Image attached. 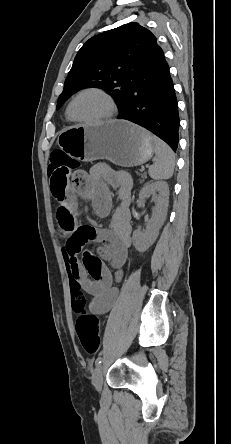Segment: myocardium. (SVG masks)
<instances>
[{
	"mask_svg": "<svg viewBox=\"0 0 231 444\" xmlns=\"http://www.w3.org/2000/svg\"><path fill=\"white\" fill-rule=\"evenodd\" d=\"M87 92H96L104 97V99L106 100V102L108 104V112L105 115H103L97 119H94V120H85V119L78 118L74 114L73 105H74L75 101L77 100V98L79 96H81L82 94L87 93ZM116 112H117V106H116V103H115L113 97L103 88L95 87V86L87 87V88L80 90L78 93L75 94V96L71 99V101L68 105V113H69L71 119L75 122H79V123H83V124H87V125L100 124V123H104L106 121H109L115 116Z\"/></svg>",
	"mask_w": 231,
	"mask_h": 444,
	"instance_id": "1",
	"label": "myocardium"
}]
</instances>
